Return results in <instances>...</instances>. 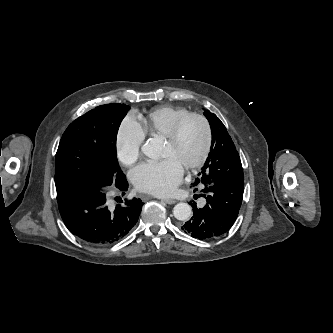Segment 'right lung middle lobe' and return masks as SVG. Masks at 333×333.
Masks as SVG:
<instances>
[{
  "instance_id": "right-lung-middle-lobe-1",
  "label": "right lung middle lobe",
  "mask_w": 333,
  "mask_h": 333,
  "mask_svg": "<svg viewBox=\"0 0 333 333\" xmlns=\"http://www.w3.org/2000/svg\"><path fill=\"white\" fill-rule=\"evenodd\" d=\"M129 107L106 104L73 121L64 132L57 153V193L83 184L105 188L122 173L116 155V138Z\"/></svg>"
}]
</instances>
